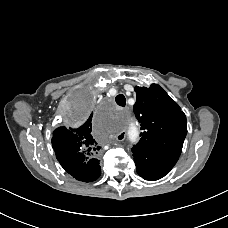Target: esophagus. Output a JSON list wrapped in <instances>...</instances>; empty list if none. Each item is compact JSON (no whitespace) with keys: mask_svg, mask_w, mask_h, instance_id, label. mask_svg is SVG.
Wrapping results in <instances>:
<instances>
[{"mask_svg":"<svg viewBox=\"0 0 228 228\" xmlns=\"http://www.w3.org/2000/svg\"><path fill=\"white\" fill-rule=\"evenodd\" d=\"M125 138H126V132L125 131L120 132L116 136L117 141H123Z\"/></svg>","mask_w":228,"mask_h":228,"instance_id":"esophagus-1","label":"esophagus"}]
</instances>
